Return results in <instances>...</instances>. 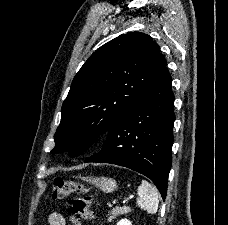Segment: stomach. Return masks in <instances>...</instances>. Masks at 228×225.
Returning a JSON list of instances; mask_svg holds the SVG:
<instances>
[{
  "instance_id": "obj_1",
  "label": "stomach",
  "mask_w": 228,
  "mask_h": 225,
  "mask_svg": "<svg viewBox=\"0 0 228 225\" xmlns=\"http://www.w3.org/2000/svg\"><path fill=\"white\" fill-rule=\"evenodd\" d=\"M82 181H87L91 185H95L97 189L103 191V193H113L118 189V185L114 179H107V177H82Z\"/></svg>"
}]
</instances>
